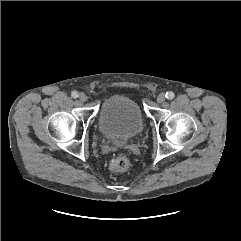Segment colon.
<instances>
[{
	"label": "colon",
	"mask_w": 241,
	"mask_h": 241,
	"mask_svg": "<svg viewBox=\"0 0 241 241\" xmlns=\"http://www.w3.org/2000/svg\"><path fill=\"white\" fill-rule=\"evenodd\" d=\"M129 167V159L124 154H119L114 157L109 164V168L112 172H123Z\"/></svg>",
	"instance_id": "colon-1"
}]
</instances>
